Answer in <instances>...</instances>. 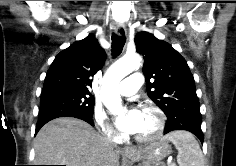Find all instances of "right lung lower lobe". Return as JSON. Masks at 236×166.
Wrapping results in <instances>:
<instances>
[{
  "label": "right lung lower lobe",
  "mask_w": 236,
  "mask_h": 166,
  "mask_svg": "<svg viewBox=\"0 0 236 166\" xmlns=\"http://www.w3.org/2000/svg\"><path fill=\"white\" fill-rule=\"evenodd\" d=\"M65 116L75 117V118H78V119H82V120L88 122L90 125L94 126V123H93V120H92V116H88L87 114H85L83 112H80V111L70 110V111H66V112H64L62 114L39 118V120L37 122L35 134H37V132L40 130V128L44 124L49 122L50 120L58 118V117H65Z\"/></svg>",
  "instance_id": "98d812e1"
}]
</instances>
